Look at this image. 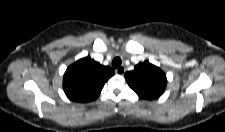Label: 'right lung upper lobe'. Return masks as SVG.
Segmentation results:
<instances>
[{
	"instance_id": "1",
	"label": "right lung upper lobe",
	"mask_w": 225,
	"mask_h": 132,
	"mask_svg": "<svg viewBox=\"0 0 225 132\" xmlns=\"http://www.w3.org/2000/svg\"><path fill=\"white\" fill-rule=\"evenodd\" d=\"M114 73L111 67L102 66L90 57L82 58L66 70L63 77L64 92L73 101H93Z\"/></svg>"
}]
</instances>
